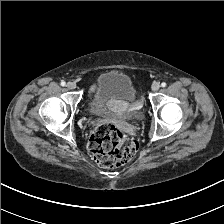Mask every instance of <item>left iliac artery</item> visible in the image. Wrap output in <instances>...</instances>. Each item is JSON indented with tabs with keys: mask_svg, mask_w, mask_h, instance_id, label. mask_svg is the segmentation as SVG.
I'll return each instance as SVG.
<instances>
[{
	"mask_svg": "<svg viewBox=\"0 0 224 224\" xmlns=\"http://www.w3.org/2000/svg\"><path fill=\"white\" fill-rule=\"evenodd\" d=\"M161 86H162V87H166V83H165V82H162V83H161Z\"/></svg>",
	"mask_w": 224,
	"mask_h": 224,
	"instance_id": "44dca946",
	"label": "left iliac artery"
}]
</instances>
